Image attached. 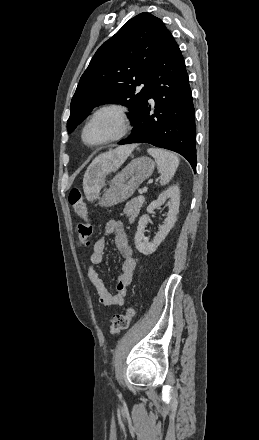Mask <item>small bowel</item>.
I'll return each instance as SVG.
<instances>
[{
	"instance_id": "c3829d8e",
	"label": "small bowel",
	"mask_w": 259,
	"mask_h": 440,
	"mask_svg": "<svg viewBox=\"0 0 259 440\" xmlns=\"http://www.w3.org/2000/svg\"><path fill=\"white\" fill-rule=\"evenodd\" d=\"M111 234L114 235L115 246L123 259L121 272L118 276L116 294L110 293L97 270L98 266L104 259V251L106 247L105 237ZM135 268L136 259L134 258L133 250L122 222L119 220H110L106 224L104 236L96 240L93 245L92 253L90 255V266L87 271L88 278L96 288L99 301L102 305L113 307L122 306L125 303L128 293L127 288L132 283Z\"/></svg>"
}]
</instances>
